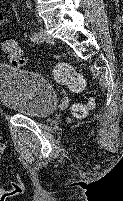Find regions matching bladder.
<instances>
[{
    "mask_svg": "<svg viewBox=\"0 0 123 201\" xmlns=\"http://www.w3.org/2000/svg\"><path fill=\"white\" fill-rule=\"evenodd\" d=\"M0 103L19 115L44 119L56 109L58 94L45 77L0 64Z\"/></svg>",
    "mask_w": 123,
    "mask_h": 201,
    "instance_id": "obj_1",
    "label": "bladder"
}]
</instances>
